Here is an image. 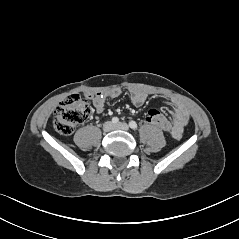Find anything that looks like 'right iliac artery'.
Instances as JSON below:
<instances>
[{"label":"right iliac artery","instance_id":"82829eb1","mask_svg":"<svg viewBox=\"0 0 239 239\" xmlns=\"http://www.w3.org/2000/svg\"><path fill=\"white\" fill-rule=\"evenodd\" d=\"M119 122V119L117 117L112 118V123L117 124Z\"/></svg>","mask_w":239,"mask_h":239}]
</instances>
